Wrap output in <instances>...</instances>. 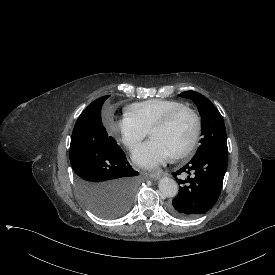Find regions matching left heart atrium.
<instances>
[{"mask_svg": "<svg viewBox=\"0 0 275 275\" xmlns=\"http://www.w3.org/2000/svg\"><path fill=\"white\" fill-rule=\"evenodd\" d=\"M171 151L160 141L150 139L134 155V160L141 166L153 168L172 159Z\"/></svg>", "mask_w": 275, "mask_h": 275, "instance_id": "39dd6f15", "label": "left heart atrium"}]
</instances>
